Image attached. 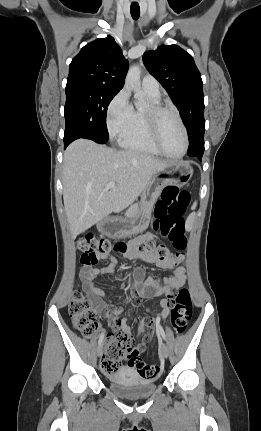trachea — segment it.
Returning <instances> with one entry per match:
<instances>
[{"label":"trachea","instance_id":"obj_1","mask_svg":"<svg viewBox=\"0 0 261 431\" xmlns=\"http://www.w3.org/2000/svg\"><path fill=\"white\" fill-rule=\"evenodd\" d=\"M131 16L134 20H137L140 16V7L138 3H132L130 6Z\"/></svg>","mask_w":261,"mask_h":431}]
</instances>
